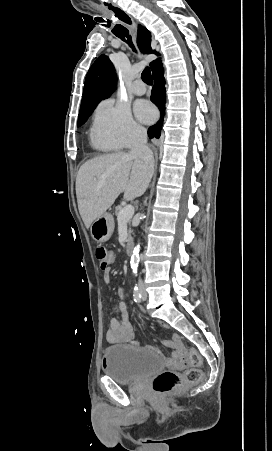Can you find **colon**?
I'll return each mask as SVG.
<instances>
[{"label": "colon", "instance_id": "obj_1", "mask_svg": "<svg viewBox=\"0 0 272 451\" xmlns=\"http://www.w3.org/2000/svg\"><path fill=\"white\" fill-rule=\"evenodd\" d=\"M96 257L102 270L108 268L112 254L106 248L98 247ZM173 361L174 370H164L153 379L152 386L157 393L168 394L179 386H189L201 380L200 366L194 365V363H201V360L193 349L182 347L173 357Z\"/></svg>", "mask_w": 272, "mask_h": 451}]
</instances>
